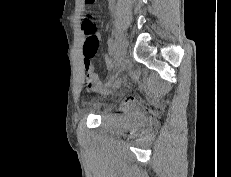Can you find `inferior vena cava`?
<instances>
[{
	"mask_svg": "<svg viewBox=\"0 0 231 177\" xmlns=\"http://www.w3.org/2000/svg\"><path fill=\"white\" fill-rule=\"evenodd\" d=\"M110 2H113L114 0H109Z\"/></svg>",
	"mask_w": 231,
	"mask_h": 177,
	"instance_id": "602c4592",
	"label": "inferior vena cava"
}]
</instances>
